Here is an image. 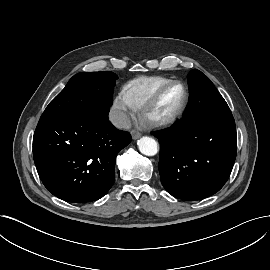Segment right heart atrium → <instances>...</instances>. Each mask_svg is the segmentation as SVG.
I'll use <instances>...</instances> for the list:
<instances>
[{
  "label": "right heart atrium",
  "instance_id": "1",
  "mask_svg": "<svg viewBox=\"0 0 270 270\" xmlns=\"http://www.w3.org/2000/svg\"><path fill=\"white\" fill-rule=\"evenodd\" d=\"M111 114L118 128L125 129L129 126L134 114V109L123 92L118 93L114 97Z\"/></svg>",
  "mask_w": 270,
  "mask_h": 270
}]
</instances>
